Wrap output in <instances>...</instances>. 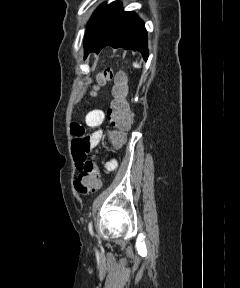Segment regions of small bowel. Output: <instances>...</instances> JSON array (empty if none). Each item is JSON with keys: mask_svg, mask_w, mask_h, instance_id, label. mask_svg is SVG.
Masks as SVG:
<instances>
[{"mask_svg": "<svg viewBox=\"0 0 240 288\" xmlns=\"http://www.w3.org/2000/svg\"><path fill=\"white\" fill-rule=\"evenodd\" d=\"M105 119V113L101 109L90 110L85 116L84 124L73 123L71 125L72 140V154L75 164L79 170L82 169L83 164L87 160L88 153L95 148L101 141L103 130L101 126ZM86 127L94 128L91 134L86 133ZM117 163L115 160L109 161L105 168L112 171L116 168Z\"/></svg>", "mask_w": 240, "mask_h": 288, "instance_id": "small-bowel-1", "label": "small bowel"}]
</instances>
